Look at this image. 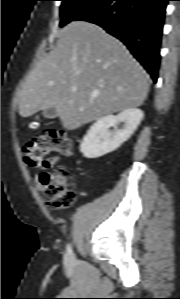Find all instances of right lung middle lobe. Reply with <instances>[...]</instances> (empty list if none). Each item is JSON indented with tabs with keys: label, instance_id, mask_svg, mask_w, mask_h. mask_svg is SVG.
<instances>
[{
	"label": "right lung middle lobe",
	"instance_id": "1",
	"mask_svg": "<svg viewBox=\"0 0 180 299\" xmlns=\"http://www.w3.org/2000/svg\"><path fill=\"white\" fill-rule=\"evenodd\" d=\"M61 22L60 27H63L70 21L76 20L84 12L94 7L102 0H61Z\"/></svg>",
	"mask_w": 180,
	"mask_h": 299
}]
</instances>
